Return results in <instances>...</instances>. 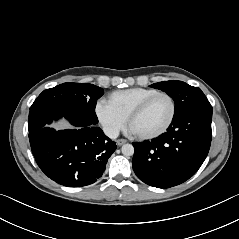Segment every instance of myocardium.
<instances>
[{"label":"myocardium","mask_w":239,"mask_h":239,"mask_svg":"<svg viewBox=\"0 0 239 239\" xmlns=\"http://www.w3.org/2000/svg\"><path fill=\"white\" fill-rule=\"evenodd\" d=\"M159 96H165L169 99L171 106H172V111H171V116L168 120V122L158 131L153 132V133H149V134H136V136L139 139L142 140H149V139H155L160 137L161 135H163L164 133H166L170 127L172 126L176 114H177V104L176 101L174 99V97L167 93V92H161L158 91L150 96H148L147 98H145L144 100H142L140 103H138L132 110L131 112L128 114L127 116V125L130 126L132 120L137 117L155 98L159 97Z\"/></svg>","instance_id":"f54148a6"}]
</instances>
